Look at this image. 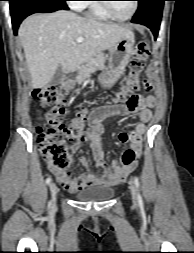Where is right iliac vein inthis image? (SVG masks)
Segmentation results:
<instances>
[{
    "label": "right iliac vein",
    "mask_w": 194,
    "mask_h": 253,
    "mask_svg": "<svg viewBox=\"0 0 194 253\" xmlns=\"http://www.w3.org/2000/svg\"><path fill=\"white\" fill-rule=\"evenodd\" d=\"M50 191H51V206L54 207L56 205L57 193L58 188L55 183L50 184Z\"/></svg>",
    "instance_id": "right-iliac-vein-1"
}]
</instances>
